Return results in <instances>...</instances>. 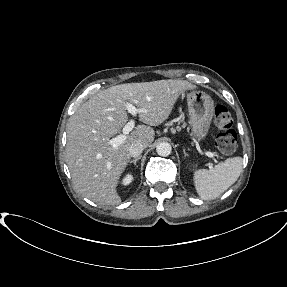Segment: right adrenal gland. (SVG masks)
<instances>
[{"label":"right adrenal gland","mask_w":287,"mask_h":287,"mask_svg":"<svg viewBox=\"0 0 287 287\" xmlns=\"http://www.w3.org/2000/svg\"><path fill=\"white\" fill-rule=\"evenodd\" d=\"M140 158H141V157L139 156V157H136V158L133 159V160H130V161H129V164H132V163H133V164L136 166V163H137L138 160H140Z\"/></svg>","instance_id":"2a0ac1e0"}]
</instances>
